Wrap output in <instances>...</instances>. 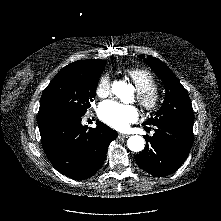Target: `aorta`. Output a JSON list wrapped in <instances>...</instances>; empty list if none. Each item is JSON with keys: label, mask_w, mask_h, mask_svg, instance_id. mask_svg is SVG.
Returning <instances> with one entry per match:
<instances>
[{"label": "aorta", "mask_w": 221, "mask_h": 221, "mask_svg": "<svg viewBox=\"0 0 221 221\" xmlns=\"http://www.w3.org/2000/svg\"><path fill=\"white\" fill-rule=\"evenodd\" d=\"M112 92L121 100L130 97L134 93V87L125 81H115L112 85ZM128 148L133 152H140L144 149L145 141L142 136H131L127 141Z\"/></svg>", "instance_id": "obj_1"}]
</instances>
